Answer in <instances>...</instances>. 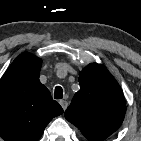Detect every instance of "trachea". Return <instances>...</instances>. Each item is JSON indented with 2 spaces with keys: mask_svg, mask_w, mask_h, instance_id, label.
I'll list each match as a JSON object with an SVG mask.
<instances>
[{
  "mask_svg": "<svg viewBox=\"0 0 141 141\" xmlns=\"http://www.w3.org/2000/svg\"><path fill=\"white\" fill-rule=\"evenodd\" d=\"M55 99H62L63 98V89L60 86L55 87V94H54Z\"/></svg>",
  "mask_w": 141,
  "mask_h": 141,
  "instance_id": "1",
  "label": "trachea"
}]
</instances>
